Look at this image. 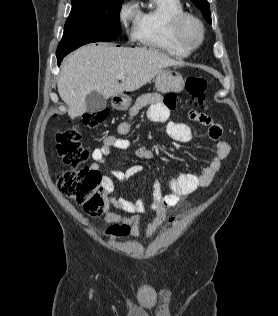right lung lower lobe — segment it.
I'll return each instance as SVG.
<instances>
[{
    "mask_svg": "<svg viewBox=\"0 0 278 316\" xmlns=\"http://www.w3.org/2000/svg\"><path fill=\"white\" fill-rule=\"evenodd\" d=\"M63 57H64V56H57L58 65H60V63H61Z\"/></svg>",
    "mask_w": 278,
    "mask_h": 316,
    "instance_id": "right-lung-lower-lobe-1",
    "label": "right lung lower lobe"
}]
</instances>
